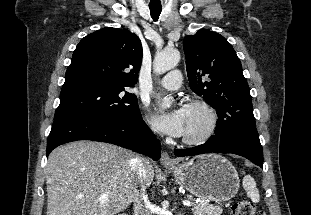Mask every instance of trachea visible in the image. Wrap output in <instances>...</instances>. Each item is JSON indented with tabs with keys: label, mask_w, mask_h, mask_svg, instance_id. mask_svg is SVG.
Masks as SVG:
<instances>
[{
	"label": "trachea",
	"mask_w": 311,
	"mask_h": 215,
	"mask_svg": "<svg viewBox=\"0 0 311 215\" xmlns=\"http://www.w3.org/2000/svg\"><path fill=\"white\" fill-rule=\"evenodd\" d=\"M150 14L154 21H157L162 11L161 6H149Z\"/></svg>",
	"instance_id": "obj_1"
}]
</instances>
